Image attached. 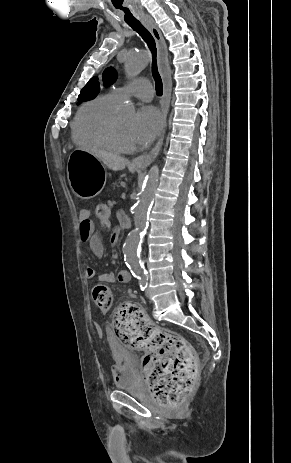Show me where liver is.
<instances>
[{"instance_id": "liver-1", "label": "liver", "mask_w": 291, "mask_h": 463, "mask_svg": "<svg viewBox=\"0 0 291 463\" xmlns=\"http://www.w3.org/2000/svg\"><path fill=\"white\" fill-rule=\"evenodd\" d=\"M89 153L97 157L109 169L113 171L123 170L127 165V160L115 153L96 149L90 150Z\"/></svg>"}]
</instances>
